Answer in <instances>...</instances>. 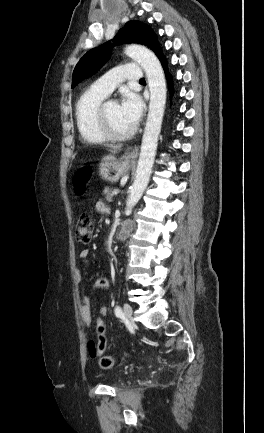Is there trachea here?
Returning <instances> with one entry per match:
<instances>
[{"label":"trachea","instance_id":"3493384b","mask_svg":"<svg viewBox=\"0 0 264 433\" xmlns=\"http://www.w3.org/2000/svg\"><path fill=\"white\" fill-rule=\"evenodd\" d=\"M140 81H145V79H144V78H141Z\"/></svg>","mask_w":264,"mask_h":433}]
</instances>
